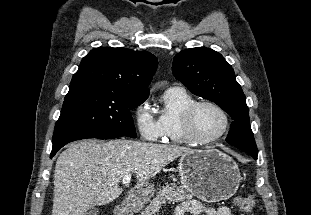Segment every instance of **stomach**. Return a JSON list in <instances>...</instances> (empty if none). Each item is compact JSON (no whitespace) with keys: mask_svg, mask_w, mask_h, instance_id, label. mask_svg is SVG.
I'll list each match as a JSON object with an SVG mask.
<instances>
[{"mask_svg":"<svg viewBox=\"0 0 311 215\" xmlns=\"http://www.w3.org/2000/svg\"><path fill=\"white\" fill-rule=\"evenodd\" d=\"M182 187L195 197L206 202H219L232 197L241 181L240 171L235 161L227 154L210 148L193 150L183 155L178 164ZM153 184L135 189L125 210L138 211L154 195Z\"/></svg>","mask_w":311,"mask_h":215,"instance_id":"stomach-1","label":"stomach"}]
</instances>
